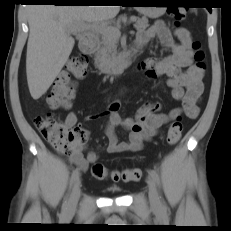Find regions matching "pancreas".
<instances>
[{
  "mask_svg": "<svg viewBox=\"0 0 231 231\" xmlns=\"http://www.w3.org/2000/svg\"><path fill=\"white\" fill-rule=\"evenodd\" d=\"M148 26V19L146 17L136 18L134 27L137 30L144 31ZM113 27L118 28V25L115 24ZM118 39L119 37L101 34L102 45L95 54V65L98 69L108 71L115 66L117 60Z\"/></svg>",
  "mask_w": 231,
  "mask_h": 231,
  "instance_id": "1",
  "label": "pancreas"
}]
</instances>
